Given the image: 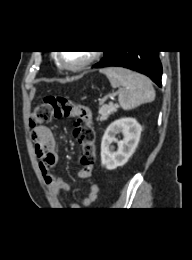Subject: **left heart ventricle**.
Instances as JSON below:
<instances>
[{"instance_id": "b2bd125f", "label": "left heart ventricle", "mask_w": 192, "mask_h": 260, "mask_svg": "<svg viewBox=\"0 0 192 260\" xmlns=\"http://www.w3.org/2000/svg\"><path fill=\"white\" fill-rule=\"evenodd\" d=\"M63 59L69 65H77L86 60L90 52L88 51H65L62 53Z\"/></svg>"}]
</instances>
